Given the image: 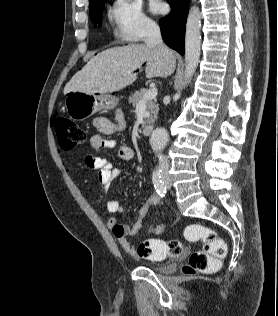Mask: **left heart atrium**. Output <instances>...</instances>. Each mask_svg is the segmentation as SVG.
<instances>
[{
  "label": "left heart atrium",
  "mask_w": 278,
  "mask_h": 316,
  "mask_svg": "<svg viewBox=\"0 0 278 316\" xmlns=\"http://www.w3.org/2000/svg\"><path fill=\"white\" fill-rule=\"evenodd\" d=\"M154 13H163L165 11V5L161 2H154L151 6Z\"/></svg>",
  "instance_id": "left-heart-atrium-1"
}]
</instances>
